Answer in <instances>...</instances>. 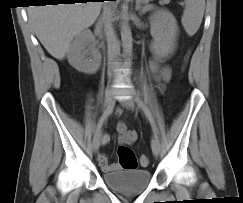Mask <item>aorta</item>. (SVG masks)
Wrapping results in <instances>:
<instances>
[{
    "instance_id": "1",
    "label": "aorta",
    "mask_w": 243,
    "mask_h": 203,
    "mask_svg": "<svg viewBox=\"0 0 243 203\" xmlns=\"http://www.w3.org/2000/svg\"><path fill=\"white\" fill-rule=\"evenodd\" d=\"M121 20L122 21H121L120 32H121L123 54L126 57L127 61L129 62L130 57L132 55V49H133L132 32L125 13H122Z\"/></svg>"
}]
</instances>
